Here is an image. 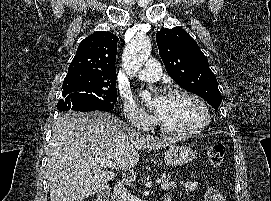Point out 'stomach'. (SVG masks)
<instances>
[{"instance_id":"obj_1","label":"stomach","mask_w":271,"mask_h":201,"mask_svg":"<svg viewBox=\"0 0 271 201\" xmlns=\"http://www.w3.org/2000/svg\"><path fill=\"white\" fill-rule=\"evenodd\" d=\"M196 152L187 146H170L164 153V161L168 166H180L191 162Z\"/></svg>"}]
</instances>
